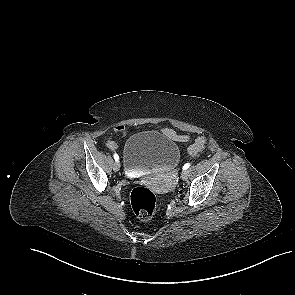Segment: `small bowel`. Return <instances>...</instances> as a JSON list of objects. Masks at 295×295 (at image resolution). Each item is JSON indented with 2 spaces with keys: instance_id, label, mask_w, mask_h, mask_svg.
<instances>
[{
  "instance_id": "c3829d8e",
  "label": "small bowel",
  "mask_w": 295,
  "mask_h": 295,
  "mask_svg": "<svg viewBox=\"0 0 295 295\" xmlns=\"http://www.w3.org/2000/svg\"><path fill=\"white\" fill-rule=\"evenodd\" d=\"M129 127L124 124H118L115 126L114 134L125 136L128 133ZM161 131L168 138L178 141V142H188L190 140V136L186 134H178L173 129L170 128H162ZM206 138L204 136H198L194 142L188 148V155L191 158L197 157L206 146ZM105 146L111 150L116 151L118 149L117 142L112 137H107L105 139Z\"/></svg>"
}]
</instances>
